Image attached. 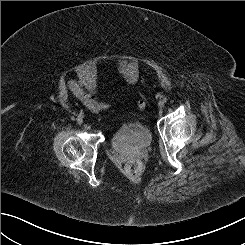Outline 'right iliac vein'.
Instances as JSON below:
<instances>
[{
	"mask_svg": "<svg viewBox=\"0 0 245 245\" xmlns=\"http://www.w3.org/2000/svg\"><path fill=\"white\" fill-rule=\"evenodd\" d=\"M83 123V120L81 118L77 119V124L81 125Z\"/></svg>",
	"mask_w": 245,
	"mask_h": 245,
	"instance_id": "obj_1",
	"label": "right iliac vein"
}]
</instances>
